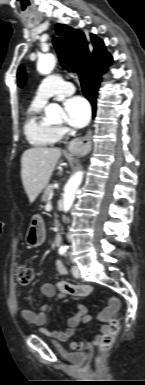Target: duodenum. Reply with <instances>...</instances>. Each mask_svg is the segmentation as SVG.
<instances>
[{
    "label": "duodenum",
    "mask_w": 145,
    "mask_h": 385,
    "mask_svg": "<svg viewBox=\"0 0 145 385\" xmlns=\"http://www.w3.org/2000/svg\"><path fill=\"white\" fill-rule=\"evenodd\" d=\"M61 236L59 234H56L55 237H54V243L56 246H60L61 245Z\"/></svg>",
    "instance_id": "duodenum-1"
}]
</instances>
